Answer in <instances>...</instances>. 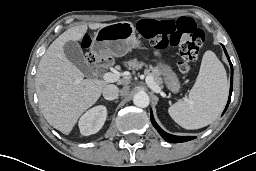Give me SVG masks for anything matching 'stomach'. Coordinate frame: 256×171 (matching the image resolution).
Here are the masks:
<instances>
[{
	"mask_svg": "<svg viewBox=\"0 0 256 171\" xmlns=\"http://www.w3.org/2000/svg\"><path fill=\"white\" fill-rule=\"evenodd\" d=\"M141 41L135 35L133 23L128 21L108 24L100 28L95 36L92 53L98 59L120 57L127 54L131 48H140ZM157 69L163 76L164 83L172 93H178L181 84L177 74L165 62L157 61Z\"/></svg>",
	"mask_w": 256,
	"mask_h": 171,
	"instance_id": "0dacf381",
	"label": "stomach"
}]
</instances>
